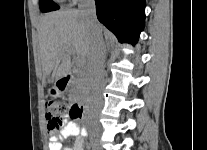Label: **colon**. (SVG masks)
<instances>
[{"label":"colon","instance_id":"colon-1","mask_svg":"<svg viewBox=\"0 0 207 150\" xmlns=\"http://www.w3.org/2000/svg\"><path fill=\"white\" fill-rule=\"evenodd\" d=\"M67 113V105L65 102L50 98L46 102V120L50 131L57 130L61 127L62 121ZM72 117L81 118V115L74 107L72 109Z\"/></svg>","mask_w":207,"mask_h":150}]
</instances>
